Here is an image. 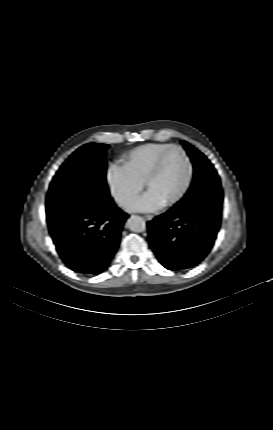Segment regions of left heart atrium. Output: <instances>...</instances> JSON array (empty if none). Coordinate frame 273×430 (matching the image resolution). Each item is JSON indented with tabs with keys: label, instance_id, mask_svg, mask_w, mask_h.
Here are the masks:
<instances>
[{
	"label": "left heart atrium",
	"instance_id": "39dd6f15",
	"mask_svg": "<svg viewBox=\"0 0 273 430\" xmlns=\"http://www.w3.org/2000/svg\"><path fill=\"white\" fill-rule=\"evenodd\" d=\"M164 206V203L151 190H148L144 195L136 199L129 209L132 211L150 212L155 211Z\"/></svg>",
	"mask_w": 273,
	"mask_h": 430
}]
</instances>
